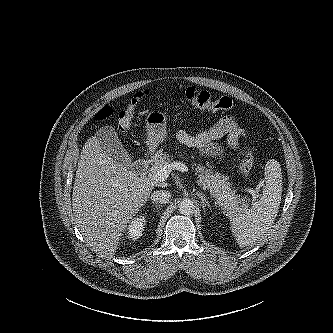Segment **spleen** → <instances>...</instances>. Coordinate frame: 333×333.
I'll list each match as a JSON object with an SVG mask.
<instances>
[{
  "label": "spleen",
  "mask_w": 333,
  "mask_h": 333,
  "mask_svg": "<svg viewBox=\"0 0 333 333\" xmlns=\"http://www.w3.org/2000/svg\"><path fill=\"white\" fill-rule=\"evenodd\" d=\"M265 186L252 207L230 217L231 230L240 248L258 241L272 227L282 195V173L277 160L270 159L264 168Z\"/></svg>",
  "instance_id": "1"
}]
</instances>
